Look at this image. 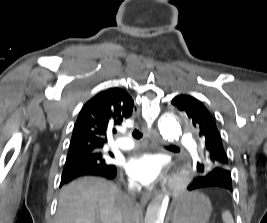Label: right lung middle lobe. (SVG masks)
Masks as SVG:
<instances>
[{"label": "right lung middle lobe", "instance_id": "obj_1", "mask_svg": "<svg viewBox=\"0 0 267 223\" xmlns=\"http://www.w3.org/2000/svg\"><path fill=\"white\" fill-rule=\"evenodd\" d=\"M96 146H84L76 150H70L63 173L84 172L89 170L115 168L109 162L112 153H107Z\"/></svg>", "mask_w": 267, "mask_h": 223}]
</instances>
